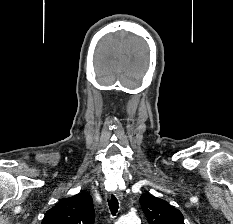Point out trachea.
I'll return each instance as SVG.
<instances>
[{
    "instance_id": "3493384b",
    "label": "trachea",
    "mask_w": 233,
    "mask_h": 224,
    "mask_svg": "<svg viewBox=\"0 0 233 224\" xmlns=\"http://www.w3.org/2000/svg\"><path fill=\"white\" fill-rule=\"evenodd\" d=\"M108 204H109L111 214L115 216L119 208V203H118L117 198L114 195H112L110 200L108 201Z\"/></svg>"
}]
</instances>
